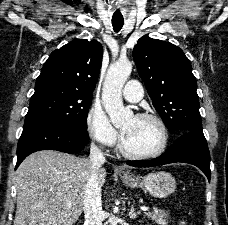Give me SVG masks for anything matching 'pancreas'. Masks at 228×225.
Listing matches in <instances>:
<instances>
[{"mask_svg":"<svg viewBox=\"0 0 228 225\" xmlns=\"http://www.w3.org/2000/svg\"><path fill=\"white\" fill-rule=\"evenodd\" d=\"M146 215L151 219V221H155L157 225H167L169 215H167L165 211L154 209L153 213H146Z\"/></svg>","mask_w":228,"mask_h":225,"instance_id":"pancreas-1","label":"pancreas"}]
</instances>
